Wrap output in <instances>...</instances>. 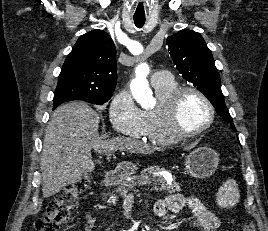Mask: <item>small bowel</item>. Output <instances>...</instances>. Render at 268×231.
Returning a JSON list of instances; mask_svg holds the SVG:
<instances>
[{
    "label": "small bowel",
    "mask_w": 268,
    "mask_h": 231,
    "mask_svg": "<svg viewBox=\"0 0 268 231\" xmlns=\"http://www.w3.org/2000/svg\"><path fill=\"white\" fill-rule=\"evenodd\" d=\"M183 209L191 212V223L200 231H214L219 225V219L208 203L195 196L169 194L154 206L156 214L160 216L166 215L168 212L178 213ZM94 222L95 218L92 214L89 211L86 212L82 231H92Z\"/></svg>",
    "instance_id": "small-bowel-1"
}]
</instances>
